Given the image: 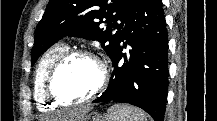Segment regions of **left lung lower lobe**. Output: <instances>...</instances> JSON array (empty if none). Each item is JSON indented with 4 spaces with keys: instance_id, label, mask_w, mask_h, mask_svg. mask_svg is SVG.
<instances>
[{
    "instance_id": "obj_1",
    "label": "left lung lower lobe",
    "mask_w": 217,
    "mask_h": 121,
    "mask_svg": "<svg viewBox=\"0 0 217 121\" xmlns=\"http://www.w3.org/2000/svg\"><path fill=\"white\" fill-rule=\"evenodd\" d=\"M127 53H123L124 49ZM106 91L93 102L138 106L163 121L168 87V33L162 0H135L111 57Z\"/></svg>"
}]
</instances>
